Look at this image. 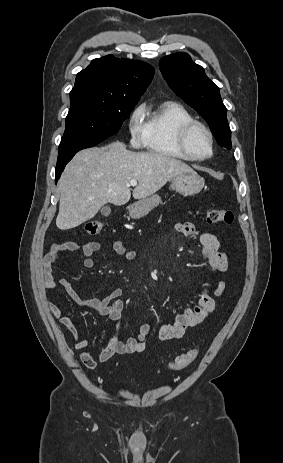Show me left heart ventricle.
Returning <instances> with one entry per match:
<instances>
[{
  "mask_svg": "<svg viewBox=\"0 0 283 463\" xmlns=\"http://www.w3.org/2000/svg\"><path fill=\"white\" fill-rule=\"evenodd\" d=\"M189 147L193 154L204 157L210 153V141L207 134L200 128H196L189 136Z\"/></svg>",
  "mask_w": 283,
  "mask_h": 463,
  "instance_id": "b2bd125f",
  "label": "left heart ventricle"
}]
</instances>
